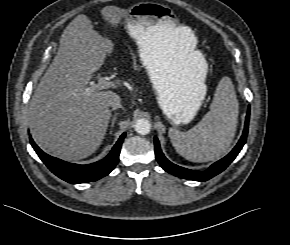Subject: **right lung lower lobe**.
Returning <instances> with one entry per match:
<instances>
[{"label": "right lung lower lobe", "mask_w": 290, "mask_h": 245, "mask_svg": "<svg viewBox=\"0 0 290 245\" xmlns=\"http://www.w3.org/2000/svg\"><path fill=\"white\" fill-rule=\"evenodd\" d=\"M125 133L122 134L112 148L109 155L104 159L88 164V165H78L68 163L66 161L60 160L58 158L52 157L44 153L30 138L31 144L40 157V159L46 164V166L61 179L77 184L96 181L106 175H108L116 166L119 160L120 148L122 141L124 139Z\"/></svg>", "instance_id": "98d812e1"}]
</instances>
